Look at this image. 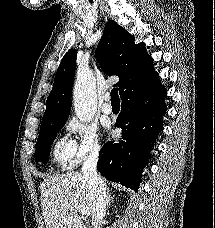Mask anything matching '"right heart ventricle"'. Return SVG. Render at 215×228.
I'll list each match as a JSON object with an SVG mask.
<instances>
[{
    "mask_svg": "<svg viewBox=\"0 0 215 228\" xmlns=\"http://www.w3.org/2000/svg\"><path fill=\"white\" fill-rule=\"evenodd\" d=\"M73 143L67 138L62 137L54 146V159L62 167L72 163Z\"/></svg>",
    "mask_w": 215,
    "mask_h": 228,
    "instance_id": "right-heart-ventricle-1",
    "label": "right heart ventricle"
}]
</instances>
